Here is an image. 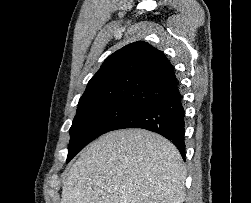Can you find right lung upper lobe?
Listing matches in <instances>:
<instances>
[{"label":"right lung upper lobe","instance_id":"cb5924a9","mask_svg":"<svg viewBox=\"0 0 251 203\" xmlns=\"http://www.w3.org/2000/svg\"><path fill=\"white\" fill-rule=\"evenodd\" d=\"M177 90L174 69L166 56L146 42H135L106 58L78 105L120 103L143 108Z\"/></svg>","mask_w":251,"mask_h":203}]
</instances>
